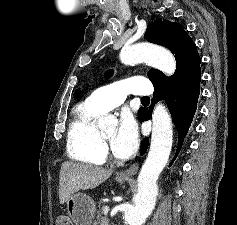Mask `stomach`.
I'll list each match as a JSON object with an SVG mask.
<instances>
[{
  "label": "stomach",
  "instance_id": "stomach-1",
  "mask_svg": "<svg viewBox=\"0 0 237 225\" xmlns=\"http://www.w3.org/2000/svg\"><path fill=\"white\" fill-rule=\"evenodd\" d=\"M120 184L127 179L117 178ZM67 214L75 225H91L95 216V203L92 198L85 193L73 194L66 202Z\"/></svg>",
  "mask_w": 237,
  "mask_h": 225
}]
</instances>
